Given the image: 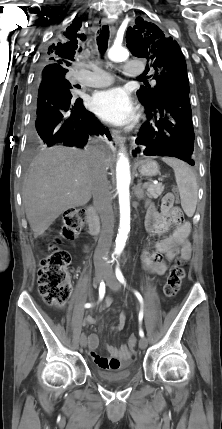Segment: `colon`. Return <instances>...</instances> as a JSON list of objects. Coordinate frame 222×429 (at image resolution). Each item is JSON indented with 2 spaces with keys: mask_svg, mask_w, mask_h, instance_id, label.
Here are the masks:
<instances>
[{
  "mask_svg": "<svg viewBox=\"0 0 222 429\" xmlns=\"http://www.w3.org/2000/svg\"><path fill=\"white\" fill-rule=\"evenodd\" d=\"M178 201L175 193L164 196L162 204L172 206ZM86 222V212L83 209L73 208L63 215L61 237L74 239L82 230ZM71 261L67 251L58 247V242L49 245V254L41 259L38 272V289L46 304L50 306H63L71 296L72 288L69 280L68 265ZM185 260L178 258L171 266L163 286L164 296L174 297L180 290L185 277ZM137 337L131 334L128 338V346L134 348Z\"/></svg>",
  "mask_w": 222,
  "mask_h": 429,
  "instance_id": "colon-1",
  "label": "colon"
}]
</instances>
